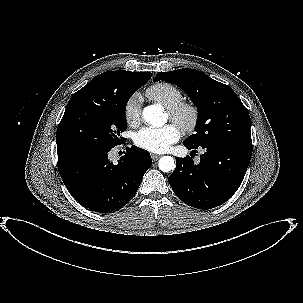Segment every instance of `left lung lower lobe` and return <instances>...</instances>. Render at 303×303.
I'll use <instances>...</instances> for the list:
<instances>
[{
    "mask_svg": "<svg viewBox=\"0 0 303 303\" xmlns=\"http://www.w3.org/2000/svg\"><path fill=\"white\" fill-rule=\"evenodd\" d=\"M188 149H204L199 164L192 158L176 159V169L169 176L176 196L184 203L211 209L226 202L239 188L252 154V141L221 139ZM196 151V150H194Z\"/></svg>",
    "mask_w": 303,
    "mask_h": 303,
    "instance_id": "obj_1",
    "label": "left lung lower lobe"
}]
</instances>
